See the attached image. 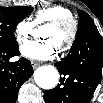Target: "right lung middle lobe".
Returning <instances> with one entry per match:
<instances>
[{
    "instance_id": "obj_1",
    "label": "right lung middle lobe",
    "mask_w": 103,
    "mask_h": 103,
    "mask_svg": "<svg viewBox=\"0 0 103 103\" xmlns=\"http://www.w3.org/2000/svg\"><path fill=\"white\" fill-rule=\"evenodd\" d=\"M33 11L31 7H0V47H17L14 30L17 24Z\"/></svg>"
}]
</instances>
